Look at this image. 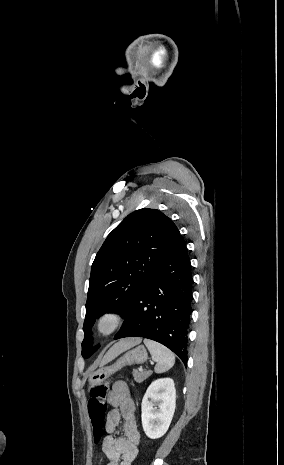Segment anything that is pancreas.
Segmentation results:
<instances>
[{
    "instance_id": "pancreas-1",
    "label": "pancreas",
    "mask_w": 284,
    "mask_h": 465,
    "mask_svg": "<svg viewBox=\"0 0 284 465\" xmlns=\"http://www.w3.org/2000/svg\"><path fill=\"white\" fill-rule=\"evenodd\" d=\"M152 375V371H146V373H139V371H133V377L136 383H142L145 379H148Z\"/></svg>"
}]
</instances>
